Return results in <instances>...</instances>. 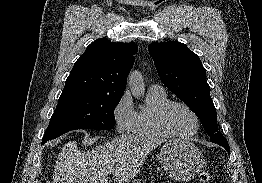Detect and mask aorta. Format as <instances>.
<instances>
[{
	"instance_id": "762f6f07",
	"label": "aorta",
	"mask_w": 262,
	"mask_h": 183,
	"mask_svg": "<svg viewBox=\"0 0 262 183\" xmlns=\"http://www.w3.org/2000/svg\"><path fill=\"white\" fill-rule=\"evenodd\" d=\"M127 84L135 97H141L144 93V83L141 75L137 71L130 73Z\"/></svg>"
}]
</instances>
